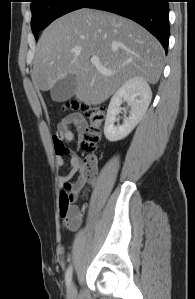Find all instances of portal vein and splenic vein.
I'll return each mask as SVG.
<instances>
[{
  "instance_id": "obj_1",
  "label": "portal vein and splenic vein",
  "mask_w": 195,
  "mask_h": 299,
  "mask_svg": "<svg viewBox=\"0 0 195 299\" xmlns=\"http://www.w3.org/2000/svg\"><path fill=\"white\" fill-rule=\"evenodd\" d=\"M90 61L95 67L100 69L102 73L110 74V72L107 69H105L103 66H101L98 57H92Z\"/></svg>"
}]
</instances>
